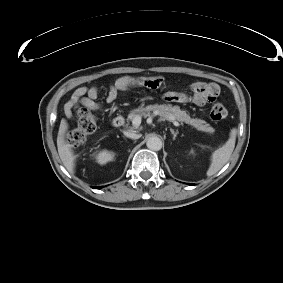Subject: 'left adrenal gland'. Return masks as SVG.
I'll return each instance as SVG.
<instances>
[{
	"instance_id": "left-adrenal-gland-1",
	"label": "left adrenal gland",
	"mask_w": 283,
	"mask_h": 283,
	"mask_svg": "<svg viewBox=\"0 0 283 283\" xmlns=\"http://www.w3.org/2000/svg\"><path fill=\"white\" fill-rule=\"evenodd\" d=\"M170 131H171V133H172V135H173V140H175L176 137H177V135H178V131H174V130L171 129V128H170Z\"/></svg>"
}]
</instances>
